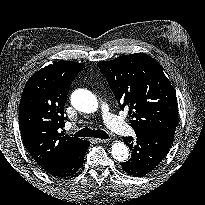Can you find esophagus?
<instances>
[{
  "label": "esophagus",
  "mask_w": 205,
  "mask_h": 205,
  "mask_svg": "<svg viewBox=\"0 0 205 205\" xmlns=\"http://www.w3.org/2000/svg\"><path fill=\"white\" fill-rule=\"evenodd\" d=\"M97 142L99 143H107L109 141V139H96Z\"/></svg>",
  "instance_id": "obj_1"
}]
</instances>
